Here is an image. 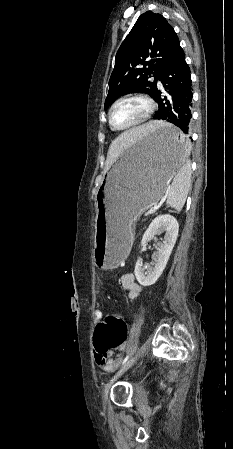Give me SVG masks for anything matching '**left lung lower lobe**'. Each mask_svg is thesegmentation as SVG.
Returning a JSON list of instances; mask_svg holds the SVG:
<instances>
[{
	"label": "left lung lower lobe",
	"instance_id": "left-lung-lower-lobe-1",
	"mask_svg": "<svg viewBox=\"0 0 233 449\" xmlns=\"http://www.w3.org/2000/svg\"><path fill=\"white\" fill-rule=\"evenodd\" d=\"M167 96L161 97V91L156 89L153 98L158 102L159 110L154 119L166 120L182 131V135L163 133L161 142L167 147L180 150L189 143L192 118V81L191 72L185 61V53L181 49L174 60L166 66L159 76Z\"/></svg>",
	"mask_w": 233,
	"mask_h": 449
}]
</instances>
